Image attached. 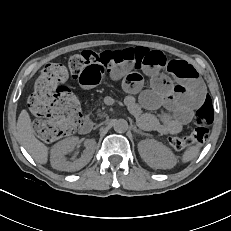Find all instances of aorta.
Returning <instances> with one entry per match:
<instances>
[{
    "instance_id": "aorta-1",
    "label": "aorta",
    "mask_w": 231,
    "mask_h": 231,
    "mask_svg": "<svg viewBox=\"0 0 231 231\" xmlns=\"http://www.w3.org/2000/svg\"><path fill=\"white\" fill-rule=\"evenodd\" d=\"M113 128L117 133H124L128 130V122L125 119H115Z\"/></svg>"
}]
</instances>
